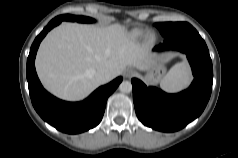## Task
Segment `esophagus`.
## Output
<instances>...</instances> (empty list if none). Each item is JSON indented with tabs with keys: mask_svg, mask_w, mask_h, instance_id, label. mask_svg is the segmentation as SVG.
Masks as SVG:
<instances>
[{
	"mask_svg": "<svg viewBox=\"0 0 238 158\" xmlns=\"http://www.w3.org/2000/svg\"><path fill=\"white\" fill-rule=\"evenodd\" d=\"M136 74V71L134 69H127L126 72H125V76L127 78H131L133 77L134 75Z\"/></svg>",
	"mask_w": 238,
	"mask_h": 158,
	"instance_id": "1",
	"label": "esophagus"
}]
</instances>
